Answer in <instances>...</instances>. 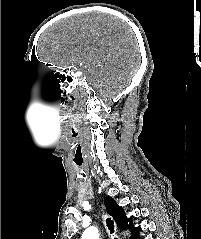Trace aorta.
<instances>
[{
  "mask_svg": "<svg viewBox=\"0 0 201 239\" xmlns=\"http://www.w3.org/2000/svg\"><path fill=\"white\" fill-rule=\"evenodd\" d=\"M82 239H99L98 230L95 227L86 229L82 235Z\"/></svg>",
  "mask_w": 201,
  "mask_h": 239,
  "instance_id": "1",
  "label": "aorta"
}]
</instances>
